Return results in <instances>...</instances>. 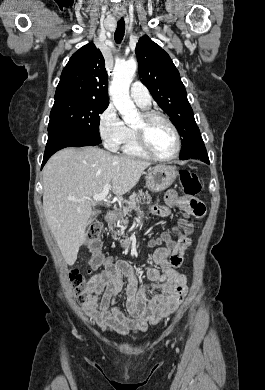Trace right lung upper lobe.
Instances as JSON below:
<instances>
[{"label":"right lung upper lobe","mask_w":265,"mask_h":390,"mask_svg":"<svg viewBox=\"0 0 265 390\" xmlns=\"http://www.w3.org/2000/svg\"><path fill=\"white\" fill-rule=\"evenodd\" d=\"M107 83L103 55L93 43H89L75 52L63 69L55 101L88 99L109 103Z\"/></svg>","instance_id":"1"}]
</instances>
